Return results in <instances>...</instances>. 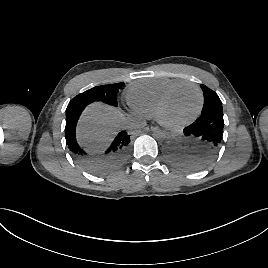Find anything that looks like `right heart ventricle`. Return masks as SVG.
I'll return each mask as SVG.
<instances>
[{"label":"right heart ventricle","instance_id":"obj_1","mask_svg":"<svg viewBox=\"0 0 268 268\" xmlns=\"http://www.w3.org/2000/svg\"><path fill=\"white\" fill-rule=\"evenodd\" d=\"M182 82L184 81L172 78L138 80L128 87L126 98L134 111L147 118L153 117L163 95L171 87Z\"/></svg>","mask_w":268,"mask_h":268}]
</instances>
